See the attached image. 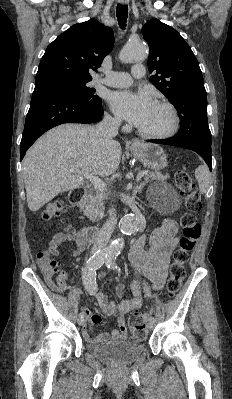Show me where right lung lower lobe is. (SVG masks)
Returning <instances> with one entry per match:
<instances>
[{
  "instance_id": "right-lung-lower-lobe-1",
  "label": "right lung lower lobe",
  "mask_w": 232,
  "mask_h": 399,
  "mask_svg": "<svg viewBox=\"0 0 232 399\" xmlns=\"http://www.w3.org/2000/svg\"><path fill=\"white\" fill-rule=\"evenodd\" d=\"M102 102L89 104L55 83H35L20 146V159L47 130L63 123H93L102 119Z\"/></svg>"
}]
</instances>
